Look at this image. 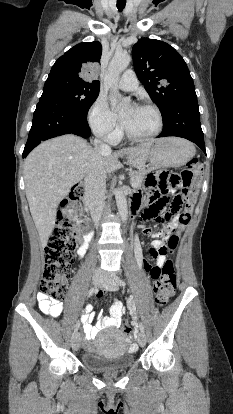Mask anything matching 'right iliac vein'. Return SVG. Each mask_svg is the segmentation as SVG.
Listing matches in <instances>:
<instances>
[{
    "instance_id": "obj_1",
    "label": "right iliac vein",
    "mask_w": 233,
    "mask_h": 414,
    "mask_svg": "<svg viewBox=\"0 0 233 414\" xmlns=\"http://www.w3.org/2000/svg\"><path fill=\"white\" fill-rule=\"evenodd\" d=\"M93 284L99 286L102 281V274L100 271H95L92 277ZM71 345L74 350H78L80 346V335L75 332L71 337Z\"/></svg>"
}]
</instances>
